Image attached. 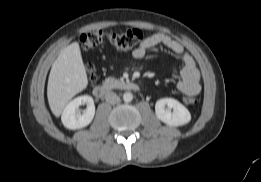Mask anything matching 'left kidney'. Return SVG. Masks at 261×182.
I'll list each match as a JSON object with an SVG mask.
<instances>
[{
  "instance_id": "obj_1",
  "label": "left kidney",
  "mask_w": 261,
  "mask_h": 182,
  "mask_svg": "<svg viewBox=\"0 0 261 182\" xmlns=\"http://www.w3.org/2000/svg\"><path fill=\"white\" fill-rule=\"evenodd\" d=\"M155 113L160 121L174 127L183 126L191 120V114L188 109L172 98L158 100L155 104Z\"/></svg>"
}]
</instances>
